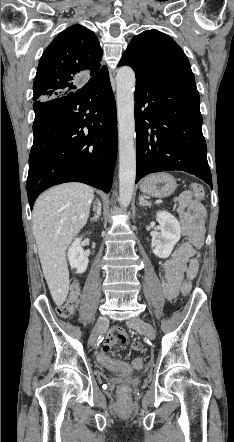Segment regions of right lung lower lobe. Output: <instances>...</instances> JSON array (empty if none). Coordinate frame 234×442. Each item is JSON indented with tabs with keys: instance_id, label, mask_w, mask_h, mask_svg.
Masks as SVG:
<instances>
[{
	"instance_id": "1",
	"label": "right lung lower lobe",
	"mask_w": 234,
	"mask_h": 442,
	"mask_svg": "<svg viewBox=\"0 0 234 442\" xmlns=\"http://www.w3.org/2000/svg\"><path fill=\"white\" fill-rule=\"evenodd\" d=\"M34 141L27 195L32 210L40 193L65 182H82L108 193L117 154L116 104L109 74L77 92L33 104Z\"/></svg>"
}]
</instances>
